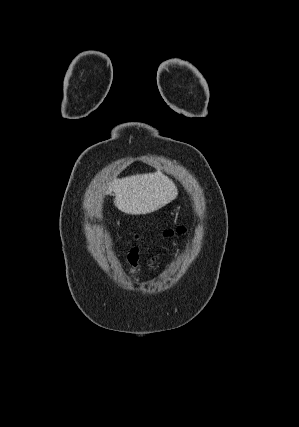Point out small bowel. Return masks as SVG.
Listing matches in <instances>:
<instances>
[{"mask_svg":"<svg viewBox=\"0 0 299 427\" xmlns=\"http://www.w3.org/2000/svg\"><path fill=\"white\" fill-rule=\"evenodd\" d=\"M138 260H139L138 249L135 247L128 254V262L131 267L135 268L138 266Z\"/></svg>","mask_w":299,"mask_h":427,"instance_id":"1","label":"small bowel"}]
</instances>
